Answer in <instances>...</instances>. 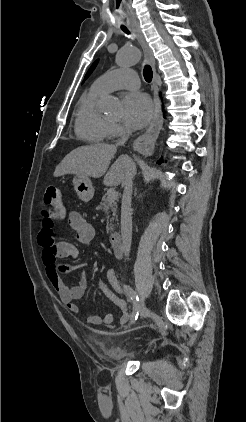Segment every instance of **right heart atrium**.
<instances>
[{
    "label": "right heart atrium",
    "instance_id": "right-heart-atrium-1",
    "mask_svg": "<svg viewBox=\"0 0 246 422\" xmlns=\"http://www.w3.org/2000/svg\"><path fill=\"white\" fill-rule=\"evenodd\" d=\"M126 132L125 128L116 122H109L108 125V137L117 138Z\"/></svg>",
    "mask_w": 246,
    "mask_h": 422
}]
</instances>
